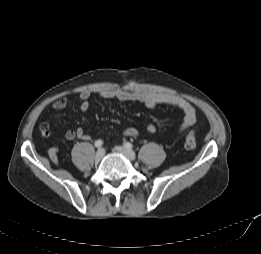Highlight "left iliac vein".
Listing matches in <instances>:
<instances>
[{
  "label": "left iliac vein",
  "mask_w": 261,
  "mask_h": 254,
  "mask_svg": "<svg viewBox=\"0 0 261 254\" xmlns=\"http://www.w3.org/2000/svg\"><path fill=\"white\" fill-rule=\"evenodd\" d=\"M115 150L117 152L123 154L124 156H126L130 160H135V153L132 150L126 149V148H124L122 146H116Z\"/></svg>",
  "instance_id": "left-iliac-vein-1"
}]
</instances>
